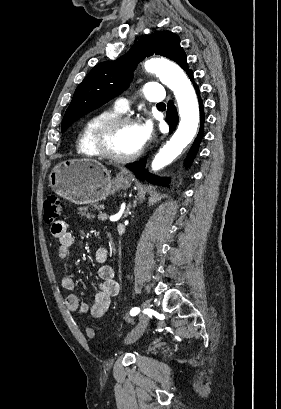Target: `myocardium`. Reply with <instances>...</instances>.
Returning a JSON list of instances; mask_svg holds the SVG:
<instances>
[{"instance_id":"myocardium-1","label":"myocardium","mask_w":281,"mask_h":409,"mask_svg":"<svg viewBox=\"0 0 281 409\" xmlns=\"http://www.w3.org/2000/svg\"><path fill=\"white\" fill-rule=\"evenodd\" d=\"M120 125L136 126L138 127L137 121L128 116H114L106 121H104L98 128L96 135V146L99 153L114 162L125 163L137 159L144 150L142 145L137 151L128 155H117L111 152L108 147V137L110 133Z\"/></svg>"}]
</instances>
